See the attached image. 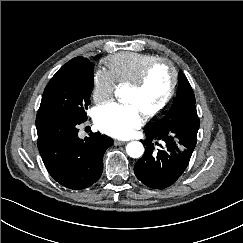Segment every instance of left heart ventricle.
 I'll return each mask as SVG.
<instances>
[{
  "label": "left heart ventricle",
  "mask_w": 243,
  "mask_h": 243,
  "mask_svg": "<svg viewBox=\"0 0 243 243\" xmlns=\"http://www.w3.org/2000/svg\"><path fill=\"white\" fill-rule=\"evenodd\" d=\"M172 80L167 64H159L150 72L145 84L140 89L128 87L125 101L132 103L145 114L157 107L166 97Z\"/></svg>",
  "instance_id": "obj_1"
}]
</instances>
